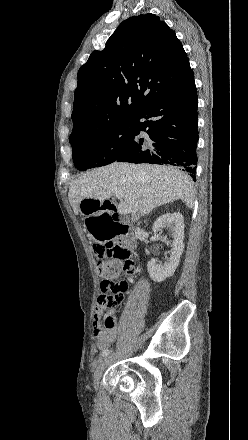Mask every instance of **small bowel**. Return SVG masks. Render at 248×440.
Returning <instances> with one entry per match:
<instances>
[{
  "label": "small bowel",
  "mask_w": 248,
  "mask_h": 440,
  "mask_svg": "<svg viewBox=\"0 0 248 440\" xmlns=\"http://www.w3.org/2000/svg\"><path fill=\"white\" fill-rule=\"evenodd\" d=\"M104 311L105 309L96 307L92 322L93 333L97 339V348L103 351L106 350L110 346V344L115 341L118 332L116 323L113 326L106 325L105 328L102 327L101 317ZM113 314V309H108L106 311V318L108 316H113Z\"/></svg>",
  "instance_id": "obj_1"
}]
</instances>
